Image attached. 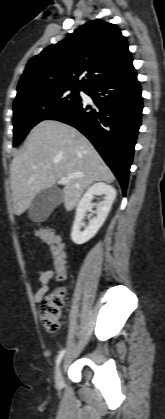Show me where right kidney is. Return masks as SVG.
<instances>
[{
	"label": "right kidney",
	"mask_w": 165,
	"mask_h": 419,
	"mask_svg": "<svg viewBox=\"0 0 165 419\" xmlns=\"http://www.w3.org/2000/svg\"><path fill=\"white\" fill-rule=\"evenodd\" d=\"M95 195L103 196L102 205L97 207L96 218L90 220L89 225L84 227L83 219L86 211L93 208L92 200ZM116 198V190L109 184L98 182L90 186L76 208V216L71 231V239L76 244H83L93 238L105 222L112 204Z\"/></svg>",
	"instance_id": "1"
}]
</instances>
